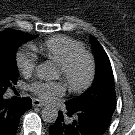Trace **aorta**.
Returning <instances> with one entry per match:
<instances>
[{
    "mask_svg": "<svg viewBox=\"0 0 135 135\" xmlns=\"http://www.w3.org/2000/svg\"><path fill=\"white\" fill-rule=\"evenodd\" d=\"M36 75L40 79L53 80L57 73L49 62H44L36 67ZM42 119L47 123H54L58 117V110L53 106H46L42 109Z\"/></svg>",
    "mask_w": 135,
    "mask_h": 135,
    "instance_id": "762f6f07",
    "label": "aorta"
}]
</instances>
